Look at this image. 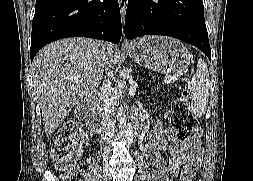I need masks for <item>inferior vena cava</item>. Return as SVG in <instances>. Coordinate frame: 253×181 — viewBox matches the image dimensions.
<instances>
[{
  "mask_svg": "<svg viewBox=\"0 0 253 181\" xmlns=\"http://www.w3.org/2000/svg\"><path fill=\"white\" fill-rule=\"evenodd\" d=\"M104 64H105V69L108 70V66L109 63L107 61V58L104 56ZM106 81L103 83L102 89L101 91L104 94V108H105V112L106 114L111 115L112 111H113V97H112V76H111V72H106ZM108 132L105 134V139H108V137L112 136L113 134L116 133L115 128L113 127L114 125V120L111 119V117H108Z\"/></svg>",
  "mask_w": 253,
  "mask_h": 181,
  "instance_id": "602c4592",
  "label": "inferior vena cava"
}]
</instances>
